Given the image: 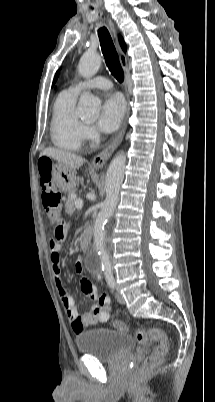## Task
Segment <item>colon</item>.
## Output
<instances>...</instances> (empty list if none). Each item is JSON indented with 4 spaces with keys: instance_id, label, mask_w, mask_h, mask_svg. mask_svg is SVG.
Returning <instances> with one entry per match:
<instances>
[{
    "instance_id": "obj_1",
    "label": "colon",
    "mask_w": 215,
    "mask_h": 402,
    "mask_svg": "<svg viewBox=\"0 0 215 402\" xmlns=\"http://www.w3.org/2000/svg\"><path fill=\"white\" fill-rule=\"evenodd\" d=\"M39 183L41 187L42 204L48 214L49 220L53 224L60 225V203L61 195L54 189L51 182V170L53 161L51 156H38ZM119 329H125V326L116 322ZM136 340L139 344L146 345L155 343V347L149 354L140 369V375L145 376L153 371L163 360L169 350V342L165 332L157 327L149 329H138L135 333Z\"/></svg>"
}]
</instances>
